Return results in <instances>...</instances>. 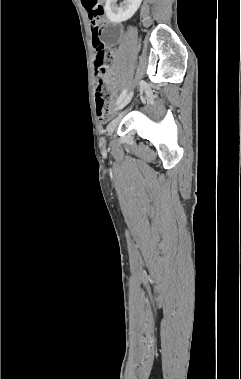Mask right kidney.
<instances>
[{
  "instance_id": "obj_1",
  "label": "right kidney",
  "mask_w": 241,
  "mask_h": 379,
  "mask_svg": "<svg viewBox=\"0 0 241 379\" xmlns=\"http://www.w3.org/2000/svg\"><path fill=\"white\" fill-rule=\"evenodd\" d=\"M142 0H124L118 6L116 0H106L105 13L110 22L117 24L130 19L140 7Z\"/></svg>"
}]
</instances>
